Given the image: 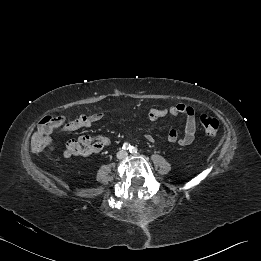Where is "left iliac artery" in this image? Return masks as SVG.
I'll list each match as a JSON object with an SVG mask.
<instances>
[{
	"label": "left iliac artery",
	"mask_w": 261,
	"mask_h": 261,
	"mask_svg": "<svg viewBox=\"0 0 261 261\" xmlns=\"http://www.w3.org/2000/svg\"><path fill=\"white\" fill-rule=\"evenodd\" d=\"M131 153H137V148L134 146H131L130 150Z\"/></svg>",
	"instance_id": "44dca946"
}]
</instances>
